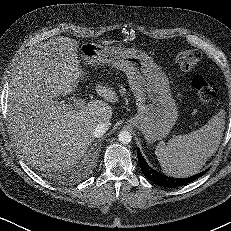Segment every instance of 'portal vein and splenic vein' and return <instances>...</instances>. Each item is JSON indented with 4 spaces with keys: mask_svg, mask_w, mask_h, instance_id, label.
<instances>
[{
    "mask_svg": "<svg viewBox=\"0 0 231 231\" xmlns=\"http://www.w3.org/2000/svg\"><path fill=\"white\" fill-rule=\"evenodd\" d=\"M85 105V100L84 99H73V102L69 103H64L63 101L59 102V106L61 109H66V110H73V109H82Z\"/></svg>",
    "mask_w": 231,
    "mask_h": 231,
    "instance_id": "portal-vein-and-splenic-vein-1",
    "label": "portal vein and splenic vein"
}]
</instances>
